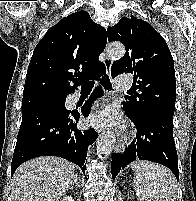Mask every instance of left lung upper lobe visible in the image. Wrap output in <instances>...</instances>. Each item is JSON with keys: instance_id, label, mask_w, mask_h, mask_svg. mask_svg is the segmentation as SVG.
Returning <instances> with one entry per match:
<instances>
[{"instance_id": "5c2ea615", "label": "left lung upper lobe", "mask_w": 196, "mask_h": 201, "mask_svg": "<svg viewBox=\"0 0 196 201\" xmlns=\"http://www.w3.org/2000/svg\"><path fill=\"white\" fill-rule=\"evenodd\" d=\"M108 41H120L124 57L115 61L111 75L134 73L135 89L142 93L125 97L123 108L131 117L159 111L173 115L176 100L174 61L163 37L148 23L132 16L122 17L107 30Z\"/></svg>"}]
</instances>
